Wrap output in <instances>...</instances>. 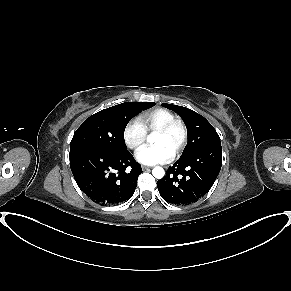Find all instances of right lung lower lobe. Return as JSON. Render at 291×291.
I'll use <instances>...</instances> for the list:
<instances>
[{
  "label": "right lung lower lobe",
  "instance_id": "98d812e1",
  "mask_svg": "<svg viewBox=\"0 0 291 291\" xmlns=\"http://www.w3.org/2000/svg\"><path fill=\"white\" fill-rule=\"evenodd\" d=\"M70 167L79 188L101 205H116L129 200L142 173L141 165L127 150L70 153Z\"/></svg>",
  "mask_w": 291,
  "mask_h": 291
}]
</instances>
